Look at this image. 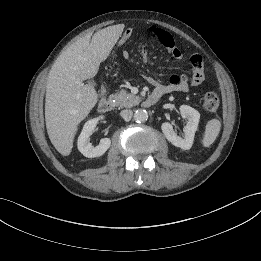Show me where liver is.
Returning <instances> with one entry per match:
<instances>
[{
    "instance_id": "obj_1",
    "label": "liver",
    "mask_w": 261,
    "mask_h": 261,
    "mask_svg": "<svg viewBox=\"0 0 261 261\" xmlns=\"http://www.w3.org/2000/svg\"><path fill=\"white\" fill-rule=\"evenodd\" d=\"M124 25L109 26L92 38L84 36L73 43L53 64L47 79L45 122L49 139L55 149L68 156L78 125L98 101L92 85L83 81L96 76L100 63L112 51Z\"/></svg>"
}]
</instances>
